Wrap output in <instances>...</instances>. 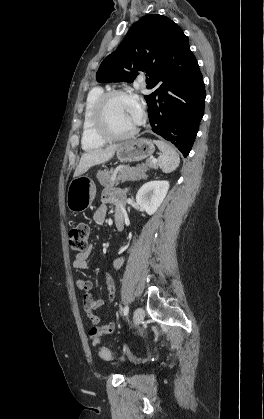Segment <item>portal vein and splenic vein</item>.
Segmentation results:
<instances>
[{"instance_id":"obj_1","label":"portal vein and splenic vein","mask_w":264,"mask_h":419,"mask_svg":"<svg viewBox=\"0 0 264 419\" xmlns=\"http://www.w3.org/2000/svg\"><path fill=\"white\" fill-rule=\"evenodd\" d=\"M152 162H153V163H156V159H153V160H152Z\"/></svg>"}]
</instances>
